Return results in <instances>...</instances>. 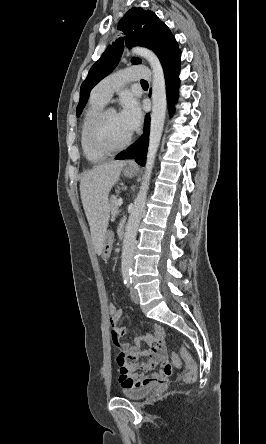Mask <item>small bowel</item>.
Returning a JSON list of instances; mask_svg holds the SVG:
<instances>
[{"label":"small bowel","mask_w":266,"mask_h":444,"mask_svg":"<svg viewBox=\"0 0 266 444\" xmlns=\"http://www.w3.org/2000/svg\"><path fill=\"white\" fill-rule=\"evenodd\" d=\"M123 309L110 319L111 338L118 349L117 365L119 382L123 388L165 383L171 375L172 367L166 357L164 332L156 326L153 333H146L135 340L131 347L121 343L120 339L127 334V329L119 326ZM147 345L146 349L141 344Z\"/></svg>","instance_id":"c3829d8e"}]
</instances>
